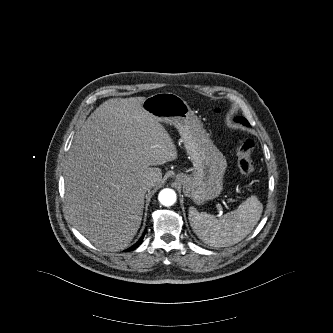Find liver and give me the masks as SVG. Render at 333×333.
I'll use <instances>...</instances> for the list:
<instances>
[{"instance_id":"liver-1","label":"liver","mask_w":333,"mask_h":333,"mask_svg":"<svg viewBox=\"0 0 333 333\" xmlns=\"http://www.w3.org/2000/svg\"><path fill=\"white\" fill-rule=\"evenodd\" d=\"M145 97L101 104L74 137L66 162V209L77 230L102 250L129 246L142 220L144 196L177 149ZM157 179L147 188L148 177Z\"/></svg>"}]
</instances>
